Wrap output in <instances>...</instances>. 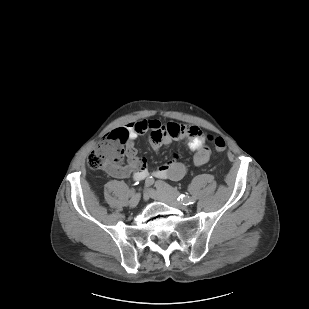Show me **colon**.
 I'll use <instances>...</instances> for the list:
<instances>
[{
  "mask_svg": "<svg viewBox=\"0 0 309 309\" xmlns=\"http://www.w3.org/2000/svg\"><path fill=\"white\" fill-rule=\"evenodd\" d=\"M125 140V134L120 131H114L104 137L88 155V167L92 170H115L118 163L126 156V149L123 146ZM209 140L214 143L218 152L224 151L227 147L222 137H209Z\"/></svg>",
  "mask_w": 309,
  "mask_h": 309,
  "instance_id": "obj_1",
  "label": "colon"
}]
</instances>
